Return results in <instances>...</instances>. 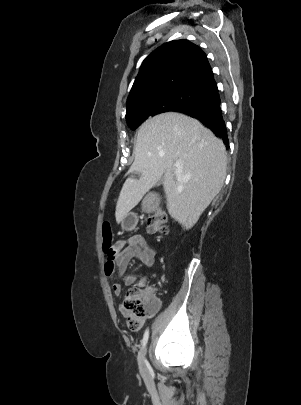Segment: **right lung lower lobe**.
I'll list each match as a JSON object with an SVG mask.
<instances>
[{
    "mask_svg": "<svg viewBox=\"0 0 301 405\" xmlns=\"http://www.w3.org/2000/svg\"><path fill=\"white\" fill-rule=\"evenodd\" d=\"M176 112L198 119L217 137L223 140V142L226 144V148L229 147L227 128L222 117L218 93H216L213 98L206 103L184 107L178 109Z\"/></svg>",
    "mask_w": 301,
    "mask_h": 405,
    "instance_id": "right-lung-lower-lobe-1",
    "label": "right lung lower lobe"
}]
</instances>
